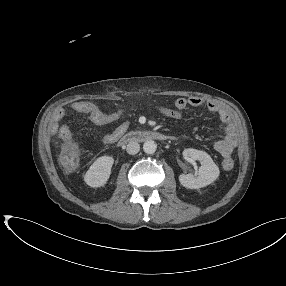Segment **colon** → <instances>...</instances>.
Instances as JSON below:
<instances>
[{"label": "colon", "instance_id": "5ec220e1", "mask_svg": "<svg viewBox=\"0 0 286 286\" xmlns=\"http://www.w3.org/2000/svg\"><path fill=\"white\" fill-rule=\"evenodd\" d=\"M61 138L63 140L60 152L61 164L67 169H74L79 162V150L72 139L68 137ZM233 164L234 162L232 159H226L224 161L225 169H231Z\"/></svg>", "mask_w": 286, "mask_h": 286}]
</instances>
